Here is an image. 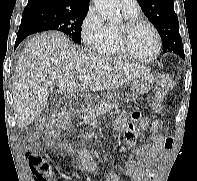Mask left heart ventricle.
I'll return each instance as SVG.
<instances>
[{
    "label": "left heart ventricle",
    "instance_id": "obj_1",
    "mask_svg": "<svg viewBox=\"0 0 197 181\" xmlns=\"http://www.w3.org/2000/svg\"><path fill=\"white\" fill-rule=\"evenodd\" d=\"M130 45L137 55L148 57L156 50V37L148 26L140 25L133 30Z\"/></svg>",
    "mask_w": 197,
    "mask_h": 181
}]
</instances>
